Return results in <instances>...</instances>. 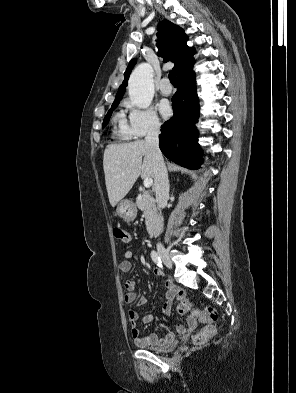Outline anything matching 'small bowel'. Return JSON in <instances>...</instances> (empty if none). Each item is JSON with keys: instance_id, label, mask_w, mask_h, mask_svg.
Returning <instances> with one entry per match:
<instances>
[{"instance_id": "c3829d8e", "label": "small bowel", "mask_w": 296, "mask_h": 393, "mask_svg": "<svg viewBox=\"0 0 296 393\" xmlns=\"http://www.w3.org/2000/svg\"><path fill=\"white\" fill-rule=\"evenodd\" d=\"M137 259V255L132 251H126L124 253V258L119 262L118 269L122 273H128L132 269V261ZM155 273L157 275H162L161 270L155 269ZM135 282L133 280H128L125 283L126 293L124 295V302L126 304H133L137 303V305H144L148 302L146 297H141L137 300L136 293H135ZM165 287L167 289V293L164 298V304L162 308L163 314H168L171 309L172 302L175 298L178 300H187L185 292L172 284L169 281H166ZM128 319L131 326V334L137 346L144 347V346H163L166 345L175 339V334L168 332L165 334L164 337H159L155 333L148 334L146 336H142L141 332L138 328V320L139 316L138 313L134 310L128 311ZM154 318L152 315H146L143 318V322L145 324L153 322ZM197 328V318L193 315H190L187 319V324L182 325L179 324L175 328V333L178 335H184L190 332H193Z\"/></svg>"}]
</instances>
